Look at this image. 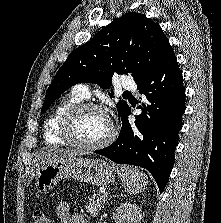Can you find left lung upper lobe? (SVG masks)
I'll list each match as a JSON object with an SVG mask.
<instances>
[{"label":"left lung upper lobe","mask_w":221,"mask_h":223,"mask_svg":"<svg viewBox=\"0 0 221 223\" xmlns=\"http://www.w3.org/2000/svg\"><path fill=\"white\" fill-rule=\"evenodd\" d=\"M169 46L157 23L144 14L126 13L71 52L47 89L41 112L78 83L110 88L115 73H129L140 83L155 69ZM117 106L120 116L129 107L125 101H119Z\"/></svg>","instance_id":"obj_1"}]
</instances>
